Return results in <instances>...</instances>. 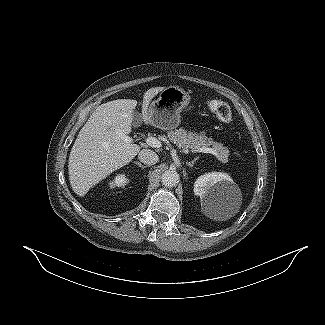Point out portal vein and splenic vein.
I'll return each instance as SVG.
<instances>
[{
  "label": "portal vein and splenic vein",
  "mask_w": 325,
  "mask_h": 325,
  "mask_svg": "<svg viewBox=\"0 0 325 325\" xmlns=\"http://www.w3.org/2000/svg\"><path fill=\"white\" fill-rule=\"evenodd\" d=\"M122 139L127 143L132 142V138H130L127 135H122ZM145 142L147 145H149L153 148L161 147V142L157 138L152 137V136L145 138ZM183 152L187 154L189 151L183 150ZM193 152L211 153L215 156L217 155L216 151L213 148H208V147H200V148L193 150Z\"/></svg>",
  "instance_id": "portal-vein-and-splenic-vein-1"
}]
</instances>
